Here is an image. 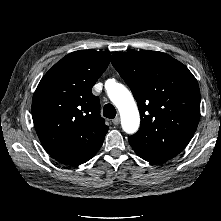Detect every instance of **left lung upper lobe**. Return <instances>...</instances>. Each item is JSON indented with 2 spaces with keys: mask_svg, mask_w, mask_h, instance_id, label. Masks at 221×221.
Segmentation results:
<instances>
[{
  "mask_svg": "<svg viewBox=\"0 0 221 221\" xmlns=\"http://www.w3.org/2000/svg\"><path fill=\"white\" fill-rule=\"evenodd\" d=\"M111 63L138 104L141 126L128 139L133 150L167 159L178 155L200 119V90L193 74L162 52L118 53Z\"/></svg>",
  "mask_w": 221,
  "mask_h": 221,
  "instance_id": "5c2ea615",
  "label": "left lung upper lobe"
}]
</instances>
